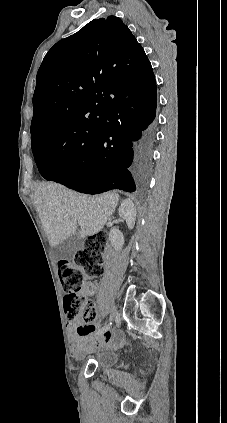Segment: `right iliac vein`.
<instances>
[{
	"instance_id": "obj_1",
	"label": "right iliac vein",
	"mask_w": 227,
	"mask_h": 423,
	"mask_svg": "<svg viewBox=\"0 0 227 423\" xmlns=\"http://www.w3.org/2000/svg\"><path fill=\"white\" fill-rule=\"evenodd\" d=\"M115 314H116V309H115V307L112 309V311H111V313H110V317H109V320L110 321H113L114 320V318H115Z\"/></svg>"
}]
</instances>
